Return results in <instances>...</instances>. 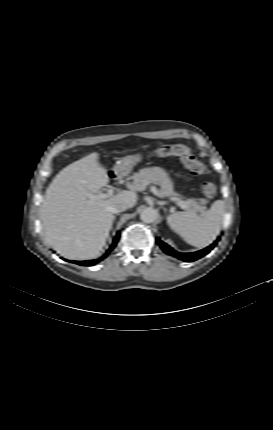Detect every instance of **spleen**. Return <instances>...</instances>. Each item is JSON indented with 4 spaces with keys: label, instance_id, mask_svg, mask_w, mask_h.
<instances>
[{
    "label": "spleen",
    "instance_id": "spleen-1",
    "mask_svg": "<svg viewBox=\"0 0 273 430\" xmlns=\"http://www.w3.org/2000/svg\"><path fill=\"white\" fill-rule=\"evenodd\" d=\"M223 213L224 201L216 200L201 215L193 211H178L167 217V223L186 243L204 248L220 233Z\"/></svg>",
    "mask_w": 273,
    "mask_h": 430
}]
</instances>
